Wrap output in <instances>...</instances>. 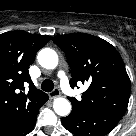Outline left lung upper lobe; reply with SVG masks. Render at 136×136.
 I'll return each instance as SVG.
<instances>
[{
  "label": "left lung upper lobe",
  "mask_w": 136,
  "mask_h": 136,
  "mask_svg": "<svg viewBox=\"0 0 136 136\" xmlns=\"http://www.w3.org/2000/svg\"><path fill=\"white\" fill-rule=\"evenodd\" d=\"M64 52L71 68L72 88L77 82H88L82 99H68L72 108L122 117L127 109L130 79L117 50L107 41L85 33H72L52 38Z\"/></svg>",
  "instance_id": "obj_1"
}]
</instances>
